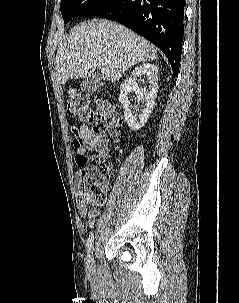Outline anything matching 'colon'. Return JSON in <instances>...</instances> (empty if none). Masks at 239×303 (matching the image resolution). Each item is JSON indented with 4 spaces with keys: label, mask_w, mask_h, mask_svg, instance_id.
Listing matches in <instances>:
<instances>
[{
    "label": "colon",
    "mask_w": 239,
    "mask_h": 303,
    "mask_svg": "<svg viewBox=\"0 0 239 303\" xmlns=\"http://www.w3.org/2000/svg\"><path fill=\"white\" fill-rule=\"evenodd\" d=\"M67 112L70 116L89 123H104L112 131L121 123L119 110L105 102L93 109L89 96L76 89L66 92ZM111 163L106 158H99L84 169L79 177L80 191L83 202L88 206H100L106 200L108 174Z\"/></svg>",
    "instance_id": "5ec220e1"
}]
</instances>
